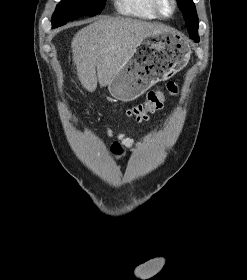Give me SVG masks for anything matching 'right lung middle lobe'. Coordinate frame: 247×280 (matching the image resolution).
<instances>
[{
  "mask_svg": "<svg viewBox=\"0 0 247 280\" xmlns=\"http://www.w3.org/2000/svg\"><path fill=\"white\" fill-rule=\"evenodd\" d=\"M104 3L105 0H62L52 16V25L55 28L80 16L99 14Z\"/></svg>",
  "mask_w": 247,
  "mask_h": 280,
  "instance_id": "1",
  "label": "right lung middle lobe"
}]
</instances>
